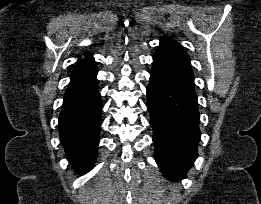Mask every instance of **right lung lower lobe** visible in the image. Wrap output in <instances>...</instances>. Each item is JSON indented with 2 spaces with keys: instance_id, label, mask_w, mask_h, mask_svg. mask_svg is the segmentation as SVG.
Returning a JSON list of instances; mask_svg holds the SVG:
<instances>
[{
  "instance_id": "1",
  "label": "right lung lower lobe",
  "mask_w": 261,
  "mask_h": 204,
  "mask_svg": "<svg viewBox=\"0 0 261 204\" xmlns=\"http://www.w3.org/2000/svg\"><path fill=\"white\" fill-rule=\"evenodd\" d=\"M93 58L79 62L71 73L59 115V132L67 158L82 174L94 167L101 123V97Z\"/></svg>"
}]
</instances>
